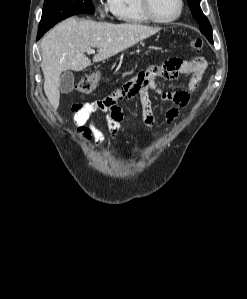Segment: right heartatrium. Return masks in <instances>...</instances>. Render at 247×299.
Segmentation results:
<instances>
[{
    "mask_svg": "<svg viewBox=\"0 0 247 299\" xmlns=\"http://www.w3.org/2000/svg\"><path fill=\"white\" fill-rule=\"evenodd\" d=\"M97 10L101 16L104 15V10L102 8L98 7Z\"/></svg>",
    "mask_w": 247,
    "mask_h": 299,
    "instance_id": "obj_1",
    "label": "right heart atrium"
}]
</instances>
